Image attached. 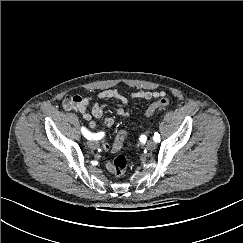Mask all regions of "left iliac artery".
<instances>
[{"label": "left iliac artery", "instance_id": "obj_1", "mask_svg": "<svg viewBox=\"0 0 243 243\" xmlns=\"http://www.w3.org/2000/svg\"><path fill=\"white\" fill-rule=\"evenodd\" d=\"M153 140L157 143L160 142V135L158 133L154 134Z\"/></svg>", "mask_w": 243, "mask_h": 243}]
</instances>
